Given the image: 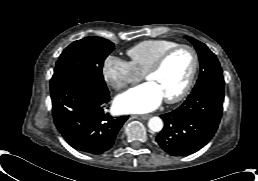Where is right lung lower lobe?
<instances>
[{
    "instance_id": "98d812e1",
    "label": "right lung lower lobe",
    "mask_w": 258,
    "mask_h": 181,
    "mask_svg": "<svg viewBox=\"0 0 258 181\" xmlns=\"http://www.w3.org/2000/svg\"><path fill=\"white\" fill-rule=\"evenodd\" d=\"M50 90L54 123L71 147L99 155L113 146L128 117L113 118L105 113L109 93L94 92L62 75H53Z\"/></svg>"
}]
</instances>
